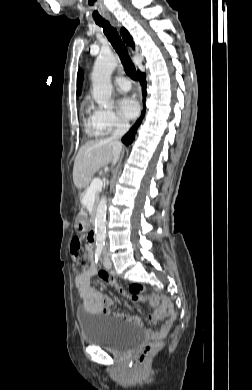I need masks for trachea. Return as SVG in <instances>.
<instances>
[{
	"label": "trachea",
	"mask_w": 252,
	"mask_h": 390,
	"mask_svg": "<svg viewBox=\"0 0 252 390\" xmlns=\"http://www.w3.org/2000/svg\"><path fill=\"white\" fill-rule=\"evenodd\" d=\"M93 1V0H92ZM96 24L103 28V32L108 38L109 42L115 49V51L119 54L122 64L124 65L125 72L131 79L136 80L137 74L134 64L132 63L127 49L122 42L117 30L113 28L108 21L105 19H95Z\"/></svg>",
	"instance_id": "1"
}]
</instances>
